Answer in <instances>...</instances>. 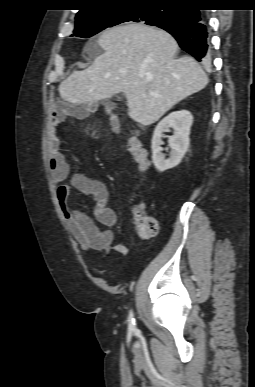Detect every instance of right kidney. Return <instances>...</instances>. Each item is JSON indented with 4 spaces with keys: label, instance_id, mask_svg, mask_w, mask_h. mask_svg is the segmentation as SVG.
I'll return each instance as SVG.
<instances>
[{
    "label": "right kidney",
    "instance_id": "ca27d5eb",
    "mask_svg": "<svg viewBox=\"0 0 255 387\" xmlns=\"http://www.w3.org/2000/svg\"><path fill=\"white\" fill-rule=\"evenodd\" d=\"M193 123V116L187 110L170 113L162 119L154 130L152 137V160L156 169L164 172L177 166L189 148L190 128ZM173 130V135L168 137L171 152L168 159L162 153L164 144L163 133Z\"/></svg>",
    "mask_w": 255,
    "mask_h": 387
}]
</instances>
